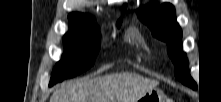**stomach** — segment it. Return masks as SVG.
<instances>
[{
	"label": "stomach",
	"mask_w": 221,
	"mask_h": 102,
	"mask_svg": "<svg viewBox=\"0 0 221 102\" xmlns=\"http://www.w3.org/2000/svg\"><path fill=\"white\" fill-rule=\"evenodd\" d=\"M136 102H166L165 94L157 88L144 93Z\"/></svg>",
	"instance_id": "1"
}]
</instances>
